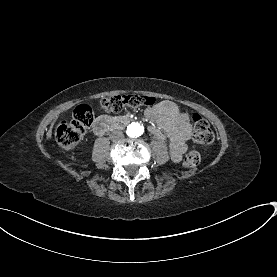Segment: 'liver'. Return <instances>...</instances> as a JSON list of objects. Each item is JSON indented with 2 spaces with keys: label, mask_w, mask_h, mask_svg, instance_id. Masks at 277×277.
<instances>
[{
  "label": "liver",
  "mask_w": 277,
  "mask_h": 277,
  "mask_svg": "<svg viewBox=\"0 0 277 277\" xmlns=\"http://www.w3.org/2000/svg\"><path fill=\"white\" fill-rule=\"evenodd\" d=\"M61 123H62V121H61ZM61 123L58 124L57 128H59V126H60Z\"/></svg>",
  "instance_id": "6515ba94"
}]
</instances>
